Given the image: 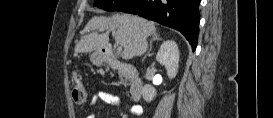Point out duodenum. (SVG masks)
Segmentation results:
<instances>
[{"label":"duodenum","mask_w":273,"mask_h":118,"mask_svg":"<svg viewBox=\"0 0 273 118\" xmlns=\"http://www.w3.org/2000/svg\"><path fill=\"white\" fill-rule=\"evenodd\" d=\"M103 59L108 66L117 70L123 77L128 79L130 97L135 101L139 100L143 94L144 83L139 77L137 69L131 64L116 60L109 52L103 55Z\"/></svg>","instance_id":"obj_1"}]
</instances>
